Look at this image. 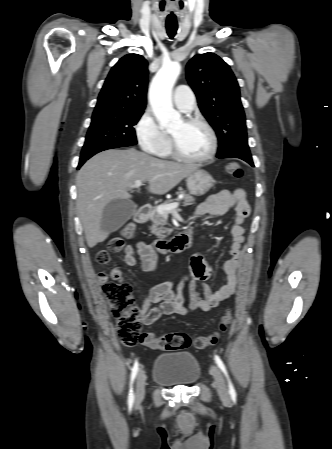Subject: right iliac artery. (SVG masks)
<instances>
[{
    "label": "right iliac artery",
    "mask_w": 332,
    "mask_h": 449,
    "mask_svg": "<svg viewBox=\"0 0 332 449\" xmlns=\"http://www.w3.org/2000/svg\"><path fill=\"white\" fill-rule=\"evenodd\" d=\"M139 370V364L137 362V360L134 363V366L132 368V372H131V379H130V389H129V394H128V405L131 407L134 403V391H133V383L134 380L136 378V375L138 373Z\"/></svg>",
    "instance_id": "82829eb1"
}]
</instances>
